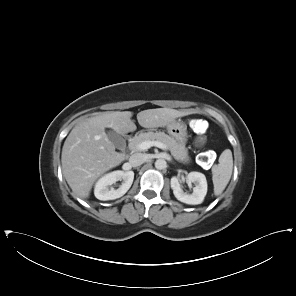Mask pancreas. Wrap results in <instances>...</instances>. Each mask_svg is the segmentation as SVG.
I'll list each match as a JSON object with an SVG mask.
<instances>
[{"instance_id":"cf45deb5","label":"pancreas","mask_w":296,"mask_h":296,"mask_svg":"<svg viewBox=\"0 0 296 296\" xmlns=\"http://www.w3.org/2000/svg\"><path fill=\"white\" fill-rule=\"evenodd\" d=\"M143 141H159L166 145L172 156L181 163H189L188 150L185 144L177 142L174 138L168 136L164 132H145L135 136L131 142V146L138 150V145Z\"/></svg>"}]
</instances>
